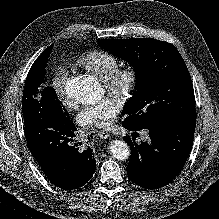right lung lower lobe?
<instances>
[{
	"label": "right lung lower lobe",
	"mask_w": 219,
	"mask_h": 219,
	"mask_svg": "<svg viewBox=\"0 0 219 219\" xmlns=\"http://www.w3.org/2000/svg\"><path fill=\"white\" fill-rule=\"evenodd\" d=\"M24 125L30 152L52 184L73 190L90 180L96 170L93 150L78 147L72 121L66 123L58 114L38 110L29 113Z\"/></svg>",
	"instance_id": "right-lung-lower-lobe-1"
}]
</instances>
